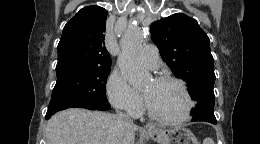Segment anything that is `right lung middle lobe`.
I'll list each match as a JSON object with an SVG mask.
<instances>
[{
    "mask_svg": "<svg viewBox=\"0 0 260 144\" xmlns=\"http://www.w3.org/2000/svg\"><path fill=\"white\" fill-rule=\"evenodd\" d=\"M110 67L56 68L57 82L47 114L60 110L107 103L105 86Z\"/></svg>",
    "mask_w": 260,
    "mask_h": 144,
    "instance_id": "dd1d6c3e",
    "label": "right lung middle lobe"
}]
</instances>
